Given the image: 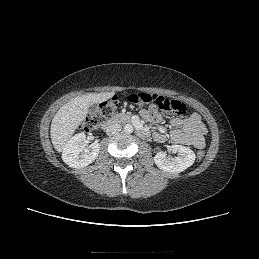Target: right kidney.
<instances>
[{
  "mask_svg": "<svg viewBox=\"0 0 259 259\" xmlns=\"http://www.w3.org/2000/svg\"><path fill=\"white\" fill-rule=\"evenodd\" d=\"M85 133L81 132L68 140L62 152L63 161L72 168H83L91 164L99 154L100 144L85 147Z\"/></svg>",
  "mask_w": 259,
  "mask_h": 259,
  "instance_id": "1",
  "label": "right kidney"
}]
</instances>
